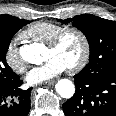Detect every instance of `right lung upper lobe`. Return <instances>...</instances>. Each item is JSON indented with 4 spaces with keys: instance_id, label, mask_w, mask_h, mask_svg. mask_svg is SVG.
I'll return each instance as SVG.
<instances>
[{
    "instance_id": "cb5924a9",
    "label": "right lung upper lobe",
    "mask_w": 116,
    "mask_h": 116,
    "mask_svg": "<svg viewBox=\"0 0 116 116\" xmlns=\"http://www.w3.org/2000/svg\"><path fill=\"white\" fill-rule=\"evenodd\" d=\"M21 20L23 19H19L11 15H0V22L4 23H17L20 22Z\"/></svg>"
}]
</instances>
